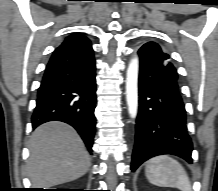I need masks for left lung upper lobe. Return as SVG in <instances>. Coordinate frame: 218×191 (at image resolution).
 <instances>
[{"label":"left lung upper lobe","mask_w":218,"mask_h":191,"mask_svg":"<svg viewBox=\"0 0 218 191\" xmlns=\"http://www.w3.org/2000/svg\"><path fill=\"white\" fill-rule=\"evenodd\" d=\"M140 50L145 53L149 60L157 67L163 66L164 68H171L177 74L170 56L165 53L157 43L148 42L144 44Z\"/></svg>","instance_id":"1"}]
</instances>
